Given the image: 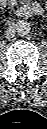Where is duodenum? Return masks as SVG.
Instances as JSON below:
<instances>
[{
    "mask_svg": "<svg viewBox=\"0 0 47 129\" xmlns=\"http://www.w3.org/2000/svg\"><path fill=\"white\" fill-rule=\"evenodd\" d=\"M18 15L22 17H28L31 15H39L42 13V8L33 3L25 4L17 10Z\"/></svg>",
    "mask_w": 47,
    "mask_h": 129,
    "instance_id": "duodenum-1",
    "label": "duodenum"
}]
</instances>
